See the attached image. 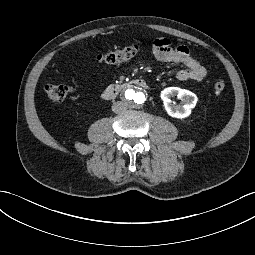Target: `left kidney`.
I'll return each instance as SVG.
<instances>
[{
	"mask_svg": "<svg viewBox=\"0 0 255 255\" xmlns=\"http://www.w3.org/2000/svg\"><path fill=\"white\" fill-rule=\"evenodd\" d=\"M173 96H177L178 99L182 100L184 105L181 108L175 106L170 100V97ZM160 98L163 101L164 109L167 114L177 119L188 118L198 101L197 96L193 92L179 87L165 88L161 91Z\"/></svg>",
	"mask_w": 255,
	"mask_h": 255,
	"instance_id": "5707ae66",
	"label": "left kidney"
}]
</instances>
